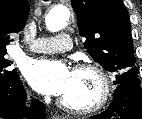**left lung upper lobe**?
Listing matches in <instances>:
<instances>
[{"label": "left lung upper lobe", "instance_id": "5c2ea615", "mask_svg": "<svg viewBox=\"0 0 142 119\" xmlns=\"http://www.w3.org/2000/svg\"><path fill=\"white\" fill-rule=\"evenodd\" d=\"M89 55L116 76V85L137 81L129 13L122 0H71Z\"/></svg>", "mask_w": 142, "mask_h": 119}]
</instances>
